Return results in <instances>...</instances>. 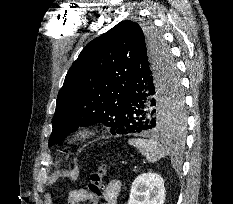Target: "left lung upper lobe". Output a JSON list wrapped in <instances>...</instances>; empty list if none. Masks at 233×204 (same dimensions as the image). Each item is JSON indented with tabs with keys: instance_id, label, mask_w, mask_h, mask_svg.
<instances>
[{
	"instance_id": "5c2ea615",
	"label": "left lung upper lobe",
	"mask_w": 233,
	"mask_h": 204,
	"mask_svg": "<svg viewBox=\"0 0 233 204\" xmlns=\"http://www.w3.org/2000/svg\"><path fill=\"white\" fill-rule=\"evenodd\" d=\"M140 49L152 55L163 53L168 74L175 70L173 59L161 36L149 26L125 20L89 42L69 69L58 93L52 119L51 147L80 126L103 123L113 135L121 134L117 124L120 102L127 91L134 59ZM161 130L185 124L180 81L170 86L157 111Z\"/></svg>"
}]
</instances>
